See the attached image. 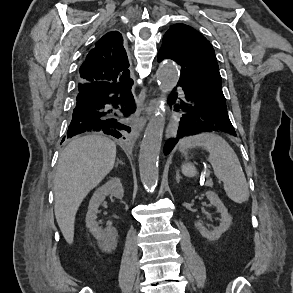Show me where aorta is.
<instances>
[{"label": "aorta", "instance_id": "1", "mask_svg": "<svg viewBox=\"0 0 293 293\" xmlns=\"http://www.w3.org/2000/svg\"><path fill=\"white\" fill-rule=\"evenodd\" d=\"M158 83L161 88V99L164 101L179 80V70L171 60L162 62L157 70ZM165 126V110L163 102L150 119L140 146L139 171L143 186L154 191L159 179L158 161Z\"/></svg>", "mask_w": 293, "mask_h": 293}]
</instances>
